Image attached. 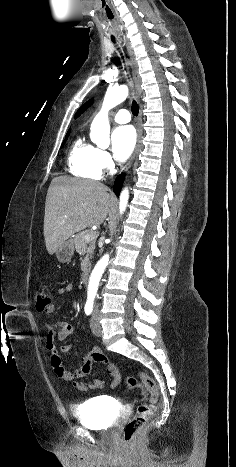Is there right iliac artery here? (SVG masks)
<instances>
[{
	"label": "right iliac artery",
	"instance_id": "obj_1",
	"mask_svg": "<svg viewBox=\"0 0 236 467\" xmlns=\"http://www.w3.org/2000/svg\"><path fill=\"white\" fill-rule=\"evenodd\" d=\"M84 311L86 315H90L93 311V303L87 302L84 307Z\"/></svg>",
	"mask_w": 236,
	"mask_h": 467
}]
</instances>
